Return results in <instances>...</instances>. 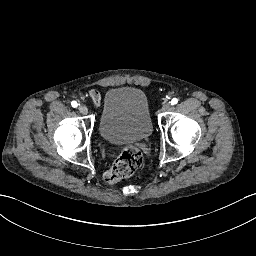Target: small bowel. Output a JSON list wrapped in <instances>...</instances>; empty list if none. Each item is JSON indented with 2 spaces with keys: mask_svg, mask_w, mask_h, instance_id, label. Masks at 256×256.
I'll use <instances>...</instances> for the list:
<instances>
[{
  "mask_svg": "<svg viewBox=\"0 0 256 256\" xmlns=\"http://www.w3.org/2000/svg\"><path fill=\"white\" fill-rule=\"evenodd\" d=\"M89 99L95 104L99 105L101 101L100 93L97 90H90L88 92Z\"/></svg>",
  "mask_w": 256,
  "mask_h": 256,
  "instance_id": "c3829d8e",
  "label": "small bowel"
}]
</instances>
